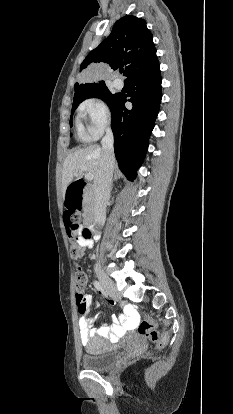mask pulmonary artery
Returning a JSON list of instances; mask_svg holds the SVG:
<instances>
[{
	"instance_id": "pulmonary-artery-1",
	"label": "pulmonary artery",
	"mask_w": 233,
	"mask_h": 414,
	"mask_svg": "<svg viewBox=\"0 0 233 414\" xmlns=\"http://www.w3.org/2000/svg\"><path fill=\"white\" fill-rule=\"evenodd\" d=\"M123 82H122V80H120V79H115L114 80V86L117 88V89H121V88H123Z\"/></svg>"
}]
</instances>
